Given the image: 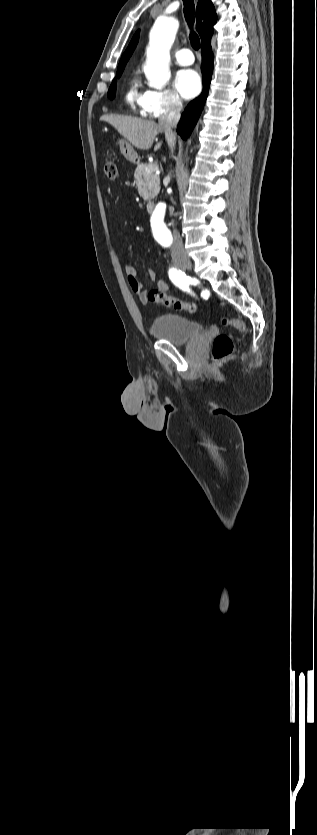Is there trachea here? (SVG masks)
I'll return each mask as SVG.
<instances>
[{
	"instance_id": "trachea-1",
	"label": "trachea",
	"mask_w": 317,
	"mask_h": 835,
	"mask_svg": "<svg viewBox=\"0 0 317 835\" xmlns=\"http://www.w3.org/2000/svg\"><path fill=\"white\" fill-rule=\"evenodd\" d=\"M183 4H184L185 19H186L187 24L189 25V27L192 29L193 25H194V10H195L194 1L193 0H183ZM189 39H190L192 47L195 50H198L199 47H200V39H199L198 35L193 30H191V33L189 35Z\"/></svg>"
}]
</instances>
